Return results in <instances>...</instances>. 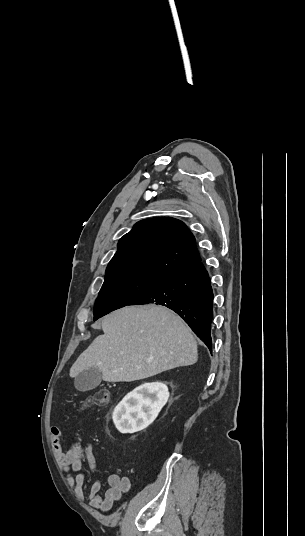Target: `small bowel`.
Masks as SVG:
<instances>
[{"label":"small bowel","instance_id":"1","mask_svg":"<svg viewBox=\"0 0 305 536\" xmlns=\"http://www.w3.org/2000/svg\"><path fill=\"white\" fill-rule=\"evenodd\" d=\"M50 437L53 454L62 471L68 476V486L75 490L78 496H83L86 474L82 472V468L86 463L90 470L95 472L97 469V461L92 449L86 450L85 457L77 455L76 451L70 449L63 450L61 434L59 426L52 424L50 426ZM131 489V481L128 477L119 475H110L108 477V488L102 493L101 482L95 481L89 494V500L92 507L103 512H108L115 503L121 500L122 496Z\"/></svg>","mask_w":305,"mask_h":536}]
</instances>
